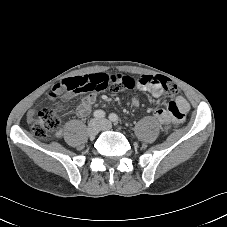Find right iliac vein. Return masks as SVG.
<instances>
[{
	"label": "right iliac vein",
	"mask_w": 227,
	"mask_h": 227,
	"mask_svg": "<svg viewBox=\"0 0 227 227\" xmlns=\"http://www.w3.org/2000/svg\"><path fill=\"white\" fill-rule=\"evenodd\" d=\"M100 131V124L97 120H91L88 124L87 132L90 137H95Z\"/></svg>",
	"instance_id": "right-iliac-vein-1"
}]
</instances>
